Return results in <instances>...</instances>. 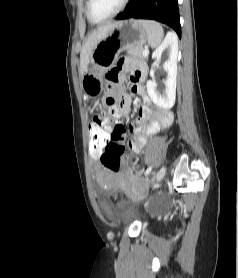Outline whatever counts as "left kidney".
<instances>
[{
	"label": "left kidney",
	"mask_w": 238,
	"mask_h": 278,
	"mask_svg": "<svg viewBox=\"0 0 238 278\" xmlns=\"http://www.w3.org/2000/svg\"><path fill=\"white\" fill-rule=\"evenodd\" d=\"M163 53L168 56L163 64V69L167 72L166 90L162 94L156 91L157 84L154 69L150 71L152 80L147 82L146 87L153 103L162 109L168 110L173 107L176 98L178 40L174 33H168L161 45L153 52L154 66L159 65Z\"/></svg>",
	"instance_id": "obj_1"
}]
</instances>
